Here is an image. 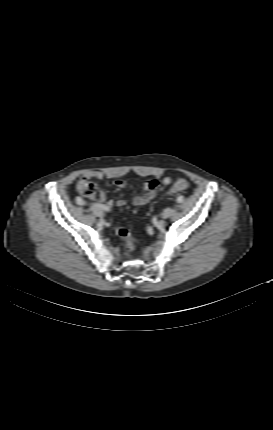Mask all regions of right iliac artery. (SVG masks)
<instances>
[{
	"label": "right iliac artery",
	"mask_w": 273,
	"mask_h": 430,
	"mask_svg": "<svg viewBox=\"0 0 273 430\" xmlns=\"http://www.w3.org/2000/svg\"><path fill=\"white\" fill-rule=\"evenodd\" d=\"M76 203H79L82 206L83 205H86V206H90L91 205L92 207H97L98 206L99 208H101L104 211H109V208L106 205L98 204L97 202H92V201L90 202V201L82 200L80 197L76 198Z\"/></svg>",
	"instance_id": "1"
}]
</instances>
